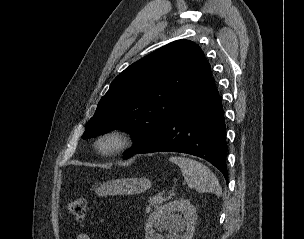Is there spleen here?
Segmentation results:
<instances>
[{
    "label": "spleen",
    "instance_id": "1",
    "mask_svg": "<svg viewBox=\"0 0 304 239\" xmlns=\"http://www.w3.org/2000/svg\"><path fill=\"white\" fill-rule=\"evenodd\" d=\"M170 161L177 164L189 188L199 193L211 192L220 196L221 186L216 176L204 164L185 157H171Z\"/></svg>",
    "mask_w": 304,
    "mask_h": 239
}]
</instances>
